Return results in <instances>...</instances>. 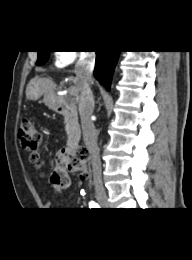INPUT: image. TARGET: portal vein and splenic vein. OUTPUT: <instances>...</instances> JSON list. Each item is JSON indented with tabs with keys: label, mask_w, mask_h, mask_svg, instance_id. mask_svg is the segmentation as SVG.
Listing matches in <instances>:
<instances>
[{
	"label": "portal vein and splenic vein",
	"mask_w": 192,
	"mask_h": 260,
	"mask_svg": "<svg viewBox=\"0 0 192 260\" xmlns=\"http://www.w3.org/2000/svg\"><path fill=\"white\" fill-rule=\"evenodd\" d=\"M69 94L75 96V95H77V90L75 88H70Z\"/></svg>",
	"instance_id": "portal-vein-and-splenic-vein-1"
}]
</instances>
